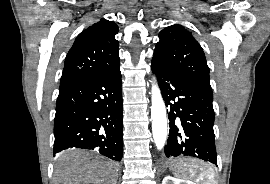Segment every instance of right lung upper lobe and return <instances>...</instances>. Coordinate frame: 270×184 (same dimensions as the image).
<instances>
[{
  "mask_svg": "<svg viewBox=\"0 0 270 184\" xmlns=\"http://www.w3.org/2000/svg\"><path fill=\"white\" fill-rule=\"evenodd\" d=\"M117 33L118 26L106 19L83 30L66 56L60 85L120 67Z\"/></svg>",
  "mask_w": 270,
  "mask_h": 184,
  "instance_id": "1",
  "label": "right lung upper lobe"
}]
</instances>
